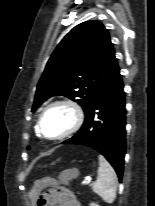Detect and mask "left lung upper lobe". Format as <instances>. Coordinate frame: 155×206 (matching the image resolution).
<instances>
[{
	"instance_id": "1",
	"label": "left lung upper lobe",
	"mask_w": 155,
	"mask_h": 206,
	"mask_svg": "<svg viewBox=\"0 0 155 206\" xmlns=\"http://www.w3.org/2000/svg\"><path fill=\"white\" fill-rule=\"evenodd\" d=\"M118 68L103 24L83 22L62 39L51 55L37 85L32 111L47 98L63 95L78 102L85 112Z\"/></svg>"
}]
</instances>
